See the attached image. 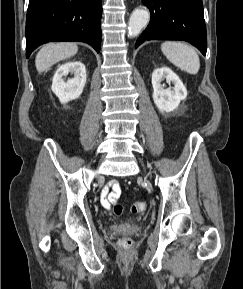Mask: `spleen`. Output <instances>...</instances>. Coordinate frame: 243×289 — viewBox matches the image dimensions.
<instances>
[{"label": "spleen", "instance_id": "1", "mask_svg": "<svg viewBox=\"0 0 243 289\" xmlns=\"http://www.w3.org/2000/svg\"><path fill=\"white\" fill-rule=\"evenodd\" d=\"M161 50L167 59L181 70L190 74H197L200 60L197 52L191 46L176 41L162 43Z\"/></svg>", "mask_w": 243, "mask_h": 289}]
</instances>
